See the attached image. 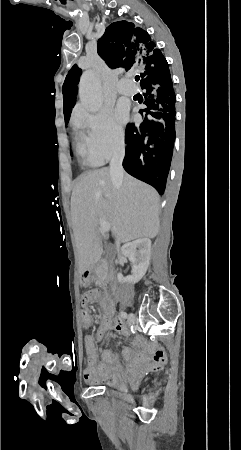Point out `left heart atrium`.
I'll return each instance as SVG.
<instances>
[{"instance_id":"39dd6f15","label":"left heart atrium","mask_w":241,"mask_h":450,"mask_svg":"<svg viewBox=\"0 0 241 450\" xmlns=\"http://www.w3.org/2000/svg\"><path fill=\"white\" fill-rule=\"evenodd\" d=\"M115 115L118 121H120L121 123L125 122L127 119V112L122 107L117 108Z\"/></svg>"}]
</instances>
